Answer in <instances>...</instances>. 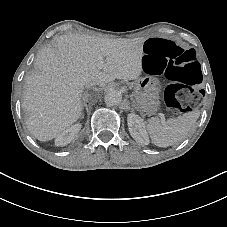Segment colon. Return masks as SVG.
Instances as JSON below:
<instances>
[{"label":"colon","instance_id":"obj_1","mask_svg":"<svg viewBox=\"0 0 227 227\" xmlns=\"http://www.w3.org/2000/svg\"><path fill=\"white\" fill-rule=\"evenodd\" d=\"M143 52L146 70L169 81L164 99L171 110L185 112L200 103V93L193 86L202 81V71L193 50L170 40L151 38L145 42Z\"/></svg>","mask_w":227,"mask_h":227}]
</instances>
